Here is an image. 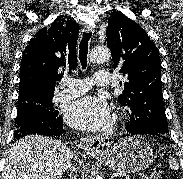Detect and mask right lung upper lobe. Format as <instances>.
Returning <instances> with one entry per match:
<instances>
[{
    "instance_id": "1",
    "label": "right lung upper lobe",
    "mask_w": 183,
    "mask_h": 179,
    "mask_svg": "<svg viewBox=\"0 0 183 179\" xmlns=\"http://www.w3.org/2000/svg\"><path fill=\"white\" fill-rule=\"evenodd\" d=\"M59 19L39 30L28 42L20 67L19 97L54 94L65 71L77 67L76 45L79 25Z\"/></svg>"
}]
</instances>
